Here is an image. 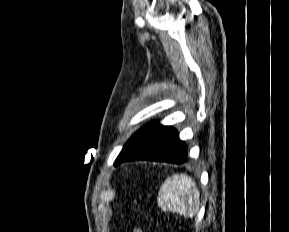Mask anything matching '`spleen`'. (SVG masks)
I'll list each match as a JSON object with an SVG mask.
<instances>
[{"label":"spleen","mask_w":289,"mask_h":232,"mask_svg":"<svg viewBox=\"0 0 289 232\" xmlns=\"http://www.w3.org/2000/svg\"><path fill=\"white\" fill-rule=\"evenodd\" d=\"M158 205L163 211L192 218L200 205V192L195 181L184 173L167 177L159 190Z\"/></svg>","instance_id":"3e777b00"}]
</instances>
